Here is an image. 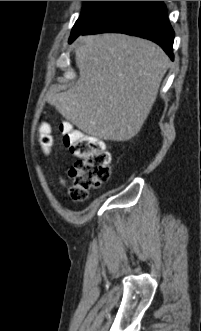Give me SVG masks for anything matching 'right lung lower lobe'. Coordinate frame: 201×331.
I'll list each match as a JSON object with an SVG mask.
<instances>
[{"mask_svg":"<svg viewBox=\"0 0 201 331\" xmlns=\"http://www.w3.org/2000/svg\"><path fill=\"white\" fill-rule=\"evenodd\" d=\"M104 32L125 33L160 45L173 60L174 31L163 1H115L79 35ZM79 35L69 40L73 42Z\"/></svg>","mask_w":201,"mask_h":331,"instance_id":"right-lung-lower-lobe-1","label":"right lung lower lobe"}]
</instances>
